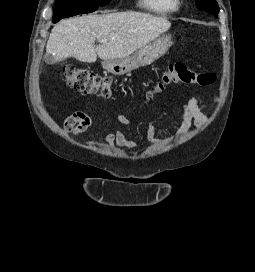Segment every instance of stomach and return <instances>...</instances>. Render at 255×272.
<instances>
[{"label": "stomach", "instance_id": "stomach-1", "mask_svg": "<svg viewBox=\"0 0 255 272\" xmlns=\"http://www.w3.org/2000/svg\"><path fill=\"white\" fill-rule=\"evenodd\" d=\"M172 45L170 36L162 35L125 58L108 60L103 67L114 75H123L162 57Z\"/></svg>", "mask_w": 255, "mask_h": 272}]
</instances>
